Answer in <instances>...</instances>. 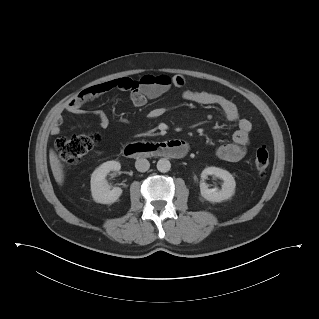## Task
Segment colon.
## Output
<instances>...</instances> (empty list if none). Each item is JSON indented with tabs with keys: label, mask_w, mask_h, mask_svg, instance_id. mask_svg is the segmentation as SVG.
Returning a JSON list of instances; mask_svg holds the SVG:
<instances>
[{
	"label": "colon",
	"mask_w": 319,
	"mask_h": 319,
	"mask_svg": "<svg viewBox=\"0 0 319 319\" xmlns=\"http://www.w3.org/2000/svg\"><path fill=\"white\" fill-rule=\"evenodd\" d=\"M171 81V78L167 75H144L137 80L126 79L119 88L130 93L153 94L165 90L171 84ZM97 142L98 135L95 133L59 137L56 141V150L61 164L64 167L75 164L89 153ZM269 161L268 151L259 148L253 160L254 169L259 178L265 177Z\"/></svg>",
	"instance_id": "colon-1"
}]
</instances>
